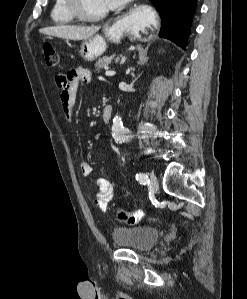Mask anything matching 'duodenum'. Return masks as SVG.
<instances>
[{
  "label": "duodenum",
  "instance_id": "410a0bca",
  "mask_svg": "<svg viewBox=\"0 0 247 299\" xmlns=\"http://www.w3.org/2000/svg\"><path fill=\"white\" fill-rule=\"evenodd\" d=\"M113 115V108L111 105H107L102 112V119L104 122H110Z\"/></svg>",
  "mask_w": 247,
  "mask_h": 299
}]
</instances>
